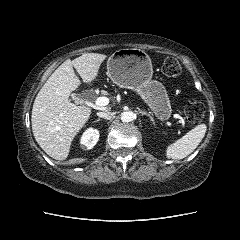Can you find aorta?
<instances>
[{"mask_svg": "<svg viewBox=\"0 0 240 240\" xmlns=\"http://www.w3.org/2000/svg\"><path fill=\"white\" fill-rule=\"evenodd\" d=\"M134 119V113L132 111H124L121 113L122 122H130Z\"/></svg>", "mask_w": 240, "mask_h": 240, "instance_id": "aorta-1", "label": "aorta"}]
</instances>
